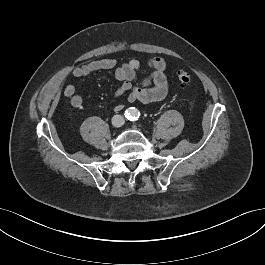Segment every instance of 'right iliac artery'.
<instances>
[{"label":"right iliac artery","instance_id":"1","mask_svg":"<svg viewBox=\"0 0 265 265\" xmlns=\"http://www.w3.org/2000/svg\"><path fill=\"white\" fill-rule=\"evenodd\" d=\"M127 115H128V113H127V111L125 112V116L127 117Z\"/></svg>","mask_w":265,"mask_h":265}]
</instances>
